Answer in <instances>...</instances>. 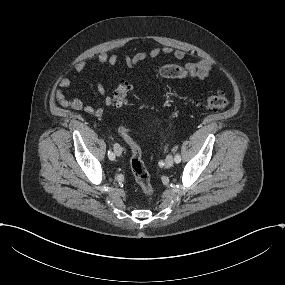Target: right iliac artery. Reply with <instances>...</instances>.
<instances>
[{
    "mask_svg": "<svg viewBox=\"0 0 285 285\" xmlns=\"http://www.w3.org/2000/svg\"><path fill=\"white\" fill-rule=\"evenodd\" d=\"M108 157L110 160H114L115 159V155L113 154V152L111 150L108 151Z\"/></svg>",
    "mask_w": 285,
    "mask_h": 285,
    "instance_id": "right-iliac-artery-1",
    "label": "right iliac artery"
}]
</instances>
